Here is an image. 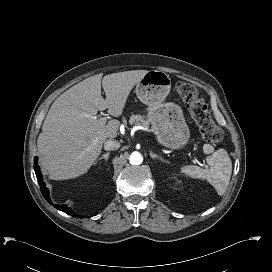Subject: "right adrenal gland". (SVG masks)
Masks as SVG:
<instances>
[{"mask_svg":"<svg viewBox=\"0 0 272 272\" xmlns=\"http://www.w3.org/2000/svg\"><path fill=\"white\" fill-rule=\"evenodd\" d=\"M109 155H110L109 152L103 154L101 157H99V158L96 160V162L94 163V165L97 164V162L100 161V160H102V159H104L105 161H108Z\"/></svg>","mask_w":272,"mask_h":272,"instance_id":"obj_1","label":"right adrenal gland"}]
</instances>
